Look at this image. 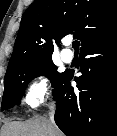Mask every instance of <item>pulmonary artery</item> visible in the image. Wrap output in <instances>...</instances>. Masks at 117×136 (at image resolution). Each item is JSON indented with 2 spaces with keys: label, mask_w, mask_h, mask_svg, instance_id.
<instances>
[{
  "label": "pulmonary artery",
  "mask_w": 117,
  "mask_h": 136,
  "mask_svg": "<svg viewBox=\"0 0 117 136\" xmlns=\"http://www.w3.org/2000/svg\"><path fill=\"white\" fill-rule=\"evenodd\" d=\"M62 60L66 63H70L73 60V53L69 49H63L61 51Z\"/></svg>",
  "instance_id": "pulmonary-artery-1"
}]
</instances>
